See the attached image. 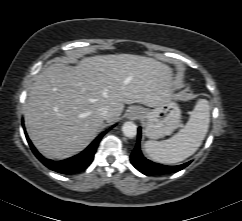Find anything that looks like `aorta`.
Segmentation results:
<instances>
[{
	"mask_svg": "<svg viewBox=\"0 0 242 221\" xmlns=\"http://www.w3.org/2000/svg\"><path fill=\"white\" fill-rule=\"evenodd\" d=\"M123 134L128 138H134L137 135V126L133 122H125L122 126Z\"/></svg>",
	"mask_w": 242,
	"mask_h": 221,
	"instance_id": "aorta-1",
	"label": "aorta"
}]
</instances>
